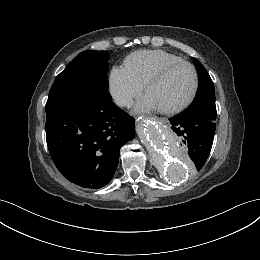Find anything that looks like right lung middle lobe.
Instances as JSON below:
<instances>
[{"instance_id":"right-lung-middle-lobe-1","label":"right lung middle lobe","mask_w":260,"mask_h":260,"mask_svg":"<svg viewBox=\"0 0 260 260\" xmlns=\"http://www.w3.org/2000/svg\"><path fill=\"white\" fill-rule=\"evenodd\" d=\"M109 55L106 51H83L56 77L46 106L70 100H91L108 90Z\"/></svg>"}]
</instances>
